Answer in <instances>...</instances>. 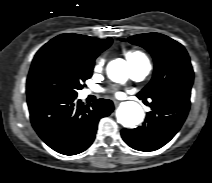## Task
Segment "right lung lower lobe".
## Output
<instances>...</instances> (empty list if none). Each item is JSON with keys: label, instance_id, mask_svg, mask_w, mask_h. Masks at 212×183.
<instances>
[{"label": "right lung lower lobe", "instance_id": "obj_1", "mask_svg": "<svg viewBox=\"0 0 212 183\" xmlns=\"http://www.w3.org/2000/svg\"><path fill=\"white\" fill-rule=\"evenodd\" d=\"M76 97L44 94L28 97L31 123L40 138L53 150L75 155L94 141L98 121L114 109L111 100L99 99L91 106Z\"/></svg>", "mask_w": 212, "mask_h": 183}]
</instances>
